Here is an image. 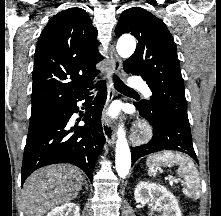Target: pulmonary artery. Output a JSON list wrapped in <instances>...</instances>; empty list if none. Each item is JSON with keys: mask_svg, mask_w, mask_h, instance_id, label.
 I'll return each mask as SVG.
<instances>
[{"mask_svg": "<svg viewBox=\"0 0 221 216\" xmlns=\"http://www.w3.org/2000/svg\"><path fill=\"white\" fill-rule=\"evenodd\" d=\"M130 85L134 88L137 89H141L144 92V95L146 97H150L151 96V91L150 89L147 87V85L145 84V82L139 78H132L130 80Z\"/></svg>", "mask_w": 221, "mask_h": 216, "instance_id": "e3ab8cb5", "label": "pulmonary artery"}]
</instances>
